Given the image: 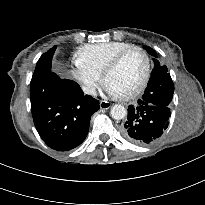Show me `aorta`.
<instances>
[{
    "instance_id": "1",
    "label": "aorta",
    "mask_w": 205,
    "mask_h": 205,
    "mask_svg": "<svg viewBox=\"0 0 205 205\" xmlns=\"http://www.w3.org/2000/svg\"><path fill=\"white\" fill-rule=\"evenodd\" d=\"M110 115L115 120H121L127 115V111L124 106L115 104L111 107Z\"/></svg>"
}]
</instances>
